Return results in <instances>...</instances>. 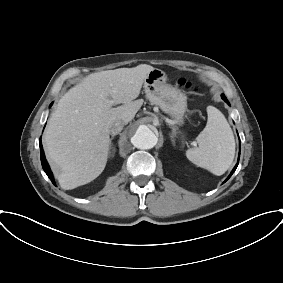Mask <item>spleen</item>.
<instances>
[{
    "label": "spleen",
    "mask_w": 283,
    "mask_h": 283,
    "mask_svg": "<svg viewBox=\"0 0 283 283\" xmlns=\"http://www.w3.org/2000/svg\"><path fill=\"white\" fill-rule=\"evenodd\" d=\"M208 120L197 136L198 147L186 151L193 164L214 175H223L231 166L235 155V140L225 116L215 107H207Z\"/></svg>",
    "instance_id": "spleen-1"
}]
</instances>
